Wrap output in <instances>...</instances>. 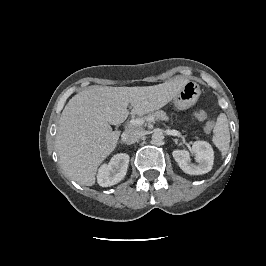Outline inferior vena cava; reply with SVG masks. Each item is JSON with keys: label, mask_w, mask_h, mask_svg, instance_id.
<instances>
[{"label": "inferior vena cava", "mask_w": 266, "mask_h": 266, "mask_svg": "<svg viewBox=\"0 0 266 266\" xmlns=\"http://www.w3.org/2000/svg\"><path fill=\"white\" fill-rule=\"evenodd\" d=\"M142 137L141 132L137 130H126L121 135V141L124 144L131 145L137 142Z\"/></svg>", "instance_id": "inferior-vena-cava-1"}]
</instances>
